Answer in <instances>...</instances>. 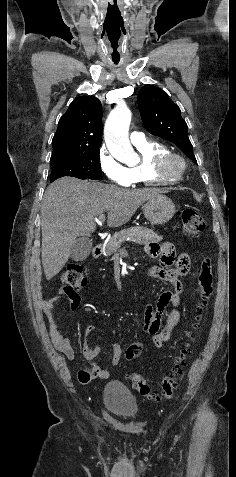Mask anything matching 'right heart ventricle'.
I'll return each instance as SVG.
<instances>
[{"mask_svg": "<svg viewBox=\"0 0 236 477\" xmlns=\"http://www.w3.org/2000/svg\"><path fill=\"white\" fill-rule=\"evenodd\" d=\"M135 147L140 154V162L137 165L127 167L130 177V183L128 186H136L138 184H167L156 179L150 172L152 158L157 154L168 152L167 148L163 144L152 140H145L144 142L135 145Z\"/></svg>", "mask_w": 236, "mask_h": 477, "instance_id": "right-heart-ventricle-1", "label": "right heart ventricle"}]
</instances>
